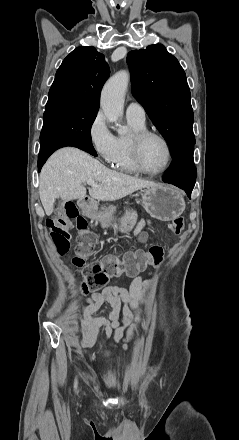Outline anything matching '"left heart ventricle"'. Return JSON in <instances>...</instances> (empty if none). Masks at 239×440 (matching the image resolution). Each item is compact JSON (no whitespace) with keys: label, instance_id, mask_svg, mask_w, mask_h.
Instances as JSON below:
<instances>
[{"label":"left heart ventricle","instance_id":"obj_1","mask_svg":"<svg viewBox=\"0 0 239 440\" xmlns=\"http://www.w3.org/2000/svg\"><path fill=\"white\" fill-rule=\"evenodd\" d=\"M141 155L145 167L152 172L163 169L167 163V149L156 137H149L144 141Z\"/></svg>","mask_w":239,"mask_h":440}]
</instances>
